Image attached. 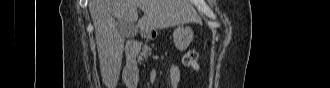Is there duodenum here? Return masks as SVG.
Here are the masks:
<instances>
[{
  "mask_svg": "<svg viewBox=\"0 0 330 88\" xmlns=\"http://www.w3.org/2000/svg\"><path fill=\"white\" fill-rule=\"evenodd\" d=\"M138 49H139V44L134 40L128 41L125 45V52H126V55H127V58H128L127 66H126V69H125V78L127 79V81L129 83H134V81H130V77L135 75V71H136L135 56H136V52L138 51ZM132 65L135 66L134 70L130 69V67Z\"/></svg>",
  "mask_w": 330,
  "mask_h": 88,
  "instance_id": "1",
  "label": "duodenum"
}]
</instances>
